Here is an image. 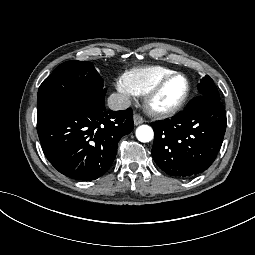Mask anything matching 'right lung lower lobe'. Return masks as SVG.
Segmentation results:
<instances>
[{
    "label": "right lung lower lobe",
    "instance_id": "1",
    "mask_svg": "<svg viewBox=\"0 0 255 255\" xmlns=\"http://www.w3.org/2000/svg\"><path fill=\"white\" fill-rule=\"evenodd\" d=\"M43 152L63 175L90 181L112 165L117 144L134 127L131 108L105 111L80 97L58 100L37 113Z\"/></svg>",
    "mask_w": 255,
    "mask_h": 255
}]
</instances>
